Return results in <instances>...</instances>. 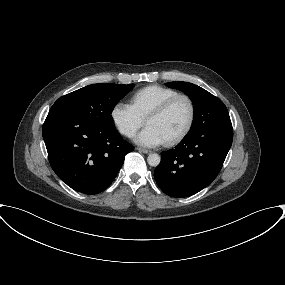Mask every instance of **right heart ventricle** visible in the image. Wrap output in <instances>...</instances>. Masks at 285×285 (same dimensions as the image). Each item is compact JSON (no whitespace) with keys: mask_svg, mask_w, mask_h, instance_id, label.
<instances>
[{"mask_svg":"<svg viewBox=\"0 0 285 285\" xmlns=\"http://www.w3.org/2000/svg\"><path fill=\"white\" fill-rule=\"evenodd\" d=\"M177 94L179 93L174 89L150 85L136 91L132 95L131 105L145 119L153 109Z\"/></svg>","mask_w":285,"mask_h":285,"instance_id":"right-heart-ventricle-1","label":"right heart ventricle"}]
</instances>
